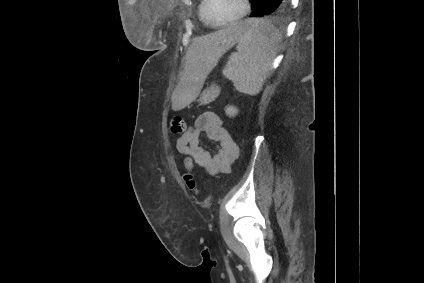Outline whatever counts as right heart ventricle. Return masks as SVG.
<instances>
[{
    "label": "right heart ventricle",
    "mask_w": 424,
    "mask_h": 283,
    "mask_svg": "<svg viewBox=\"0 0 424 283\" xmlns=\"http://www.w3.org/2000/svg\"><path fill=\"white\" fill-rule=\"evenodd\" d=\"M203 5H204V0H201L198 6V14L202 21H203Z\"/></svg>",
    "instance_id": "obj_1"
}]
</instances>
